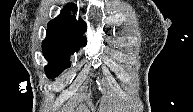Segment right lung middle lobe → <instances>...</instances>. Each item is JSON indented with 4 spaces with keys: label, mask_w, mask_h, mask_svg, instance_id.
<instances>
[{
    "label": "right lung middle lobe",
    "mask_w": 193,
    "mask_h": 112,
    "mask_svg": "<svg viewBox=\"0 0 193 112\" xmlns=\"http://www.w3.org/2000/svg\"><path fill=\"white\" fill-rule=\"evenodd\" d=\"M81 46V45H80ZM79 50V45L65 41H43V55L48 61L45 72L48 78H55L70 67L69 57Z\"/></svg>",
    "instance_id": "dd1d6c3e"
}]
</instances>
